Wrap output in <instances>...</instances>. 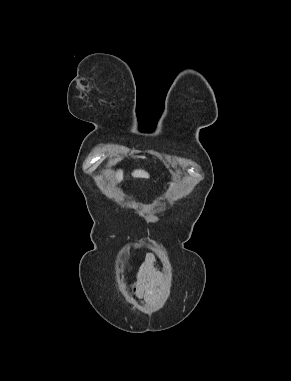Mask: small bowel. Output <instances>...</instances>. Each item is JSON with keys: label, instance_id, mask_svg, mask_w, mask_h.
<instances>
[{"label": "small bowel", "instance_id": "c3829d8e", "mask_svg": "<svg viewBox=\"0 0 291 381\" xmlns=\"http://www.w3.org/2000/svg\"><path fill=\"white\" fill-rule=\"evenodd\" d=\"M154 261L153 253L146 254L137 277L130 286V293L146 305H154L158 301L163 287L164 276L155 268Z\"/></svg>", "mask_w": 291, "mask_h": 381}]
</instances>
